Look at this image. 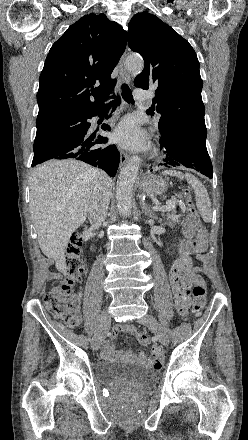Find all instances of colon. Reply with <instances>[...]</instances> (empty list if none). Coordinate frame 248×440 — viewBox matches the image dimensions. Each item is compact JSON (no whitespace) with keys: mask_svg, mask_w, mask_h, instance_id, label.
<instances>
[{"mask_svg":"<svg viewBox=\"0 0 248 440\" xmlns=\"http://www.w3.org/2000/svg\"><path fill=\"white\" fill-rule=\"evenodd\" d=\"M185 201L188 209V219L192 222L199 233L192 243L193 252H201L205 248V234L201 225L192 195L189 191L184 192ZM82 239L78 232L72 234L68 247L66 249V277L56 285L50 288L44 297V303L56 320L62 321L69 327H76L79 322L78 298L73 292L74 284L80 280L83 273L82 262ZM193 283V306L192 313L200 316L206 300L207 287L205 281L198 274L192 275ZM137 342L142 346L149 344V337L143 332L135 334Z\"/></svg>","mask_w":248,"mask_h":440,"instance_id":"colon-1","label":"colon"}]
</instances>
